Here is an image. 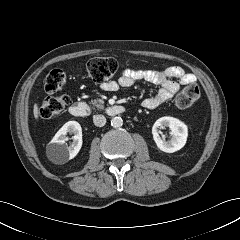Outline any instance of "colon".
I'll return each instance as SVG.
<instances>
[{
    "label": "colon",
    "instance_id": "colon-1",
    "mask_svg": "<svg viewBox=\"0 0 240 240\" xmlns=\"http://www.w3.org/2000/svg\"><path fill=\"white\" fill-rule=\"evenodd\" d=\"M121 68L120 63L114 58H94L86 65L87 76L95 83L109 81ZM66 74L60 70H52L45 80L47 92H57L66 86ZM201 96L198 85L190 84L180 92L176 104L181 109H186L195 104ZM69 103L66 95L47 98L41 107V117L50 119L59 115Z\"/></svg>",
    "mask_w": 240,
    "mask_h": 240
}]
</instances>
